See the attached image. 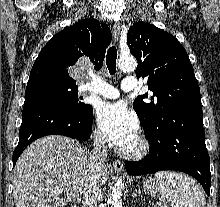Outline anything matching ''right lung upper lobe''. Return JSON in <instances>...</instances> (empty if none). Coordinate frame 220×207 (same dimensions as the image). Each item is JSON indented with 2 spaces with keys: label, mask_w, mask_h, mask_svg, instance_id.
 <instances>
[{
  "label": "right lung upper lobe",
  "mask_w": 220,
  "mask_h": 207,
  "mask_svg": "<svg viewBox=\"0 0 220 207\" xmlns=\"http://www.w3.org/2000/svg\"><path fill=\"white\" fill-rule=\"evenodd\" d=\"M111 32L107 25L96 19H82L55 34L39 53L31 69L27 85L41 80H54L76 85L69 69L81 58L93 62L99 70Z\"/></svg>",
  "instance_id": "1"
}]
</instances>
